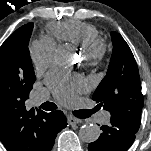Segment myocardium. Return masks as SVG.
Masks as SVG:
<instances>
[{
    "instance_id": "f54148a6",
    "label": "myocardium",
    "mask_w": 151,
    "mask_h": 151,
    "mask_svg": "<svg viewBox=\"0 0 151 151\" xmlns=\"http://www.w3.org/2000/svg\"><path fill=\"white\" fill-rule=\"evenodd\" d=\"M106 54L103 42L98 39L82 48V56L86 65L95 67L102 63Z\"/></svg>"
}]
</instances>
